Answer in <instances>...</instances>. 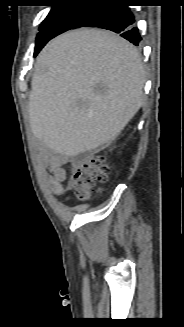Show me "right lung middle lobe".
I'll return each mask as SVG.
<instances>
[{
  "mask_svg": "<svg viewBox=\"0 0 184 327\" xmlns=\"http://www.w3.org/2000/svg\"><path fill=\"white\" fill-rule=\"evenodd\" d=\"M90 6L66 4L53 6L39 28L34 56L55 36L71 29Z\"/></svg>",
  "mask_w": 184,
  "mask_h": 327,
  "instance_id": "dd1d6c3e",
  "label": "right lung middle lobe"
}]
</instances>
